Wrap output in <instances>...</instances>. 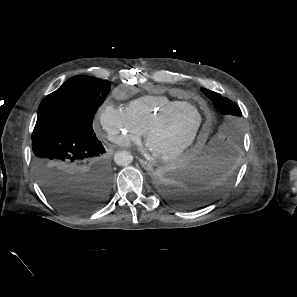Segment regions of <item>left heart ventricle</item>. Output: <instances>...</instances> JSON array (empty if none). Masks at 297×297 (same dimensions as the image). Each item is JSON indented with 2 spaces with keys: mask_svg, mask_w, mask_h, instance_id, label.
I'll use <instances>...</instances> for the list:
<instances>
[{
  "mask_svg": "<svg viewBox=\"0 0 297 297\" xmlns=\"http://www.w3.org/2000/svg\"><path fill=\"white\" fill-rule=\"evenodd\" d=\"M198 123L197 111L186 108L155 129L150 134L147 143L155 154L175 150L193 135Z\"/></svg>",
  "mask_w": 297,
  "mask_h": 297,
  "instance_id": "1",
  "label": "left heart ventricle"
}]
</instances>
